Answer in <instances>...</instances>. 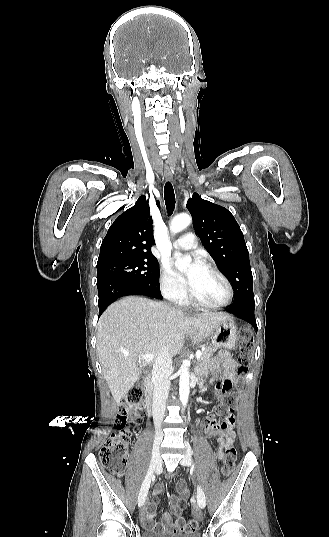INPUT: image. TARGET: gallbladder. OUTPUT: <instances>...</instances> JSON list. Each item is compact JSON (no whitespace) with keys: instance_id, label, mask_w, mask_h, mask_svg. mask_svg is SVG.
I'll return each instance as SVG.
<instances>
[{"instance_id":"gallbladder-1","label":"gallbladder","mask_w":329,"mask_h":537,"mask_svg":"<svg viewBox=\"0 0 329 537\" xmlns=\"http://www.w3.org/2000/svg\"><path fill=\"white\" fill-rule=\"evenodd\" d=\"M144 377H145V373L142 372L141 375H140V377H139V382H140V383L143 382Z\"/></svg>"}]
</instances>
